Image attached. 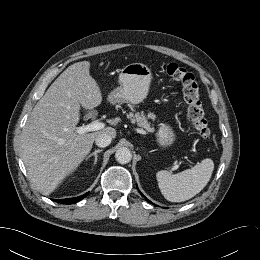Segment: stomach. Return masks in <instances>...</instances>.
<instances>
[{
	"label": "stomach",
	"instance_id": "0dacf381",
	"mask_svg": "<svg viewBox=\"0 0 260 260\" xmlns=\"http://www.w3.org/2000/svg\"><path fill=\"white\" fill-rule=\"evenodd\" d=\"M152 80L151 69L142 63H131L125 66L119 74L120 86L111 91L108 100L115 103L138 104L142 102L148 92ZM157 142L163 147H170L176 135L168 124H161L157 134Z\"/></svg>",
	"mask_w": 260,
	"mask_h": 260
}]
</instances>
